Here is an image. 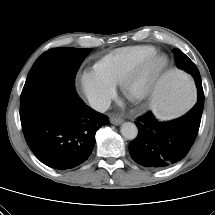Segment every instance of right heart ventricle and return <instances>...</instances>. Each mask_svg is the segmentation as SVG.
Listing matches in <instances>:
<instances>
[{
  "mask_svg": "<svg viewBox=\"0 0 215 215\" xmlns=\"http://www.w3.org/2000/svg\"><path fill=\"white\" fill-rule=\"evenodd\" d=\"M155 52L156 49L150 45L117 48L101 57L94 68L115 85L120 84L135 64Z\"/></svg>",
  "mask_w": 215,
  "mask_h": 215,
  "instance_id": "obj_1",
  "label": "right heart ventricle"
}]
</instances>
